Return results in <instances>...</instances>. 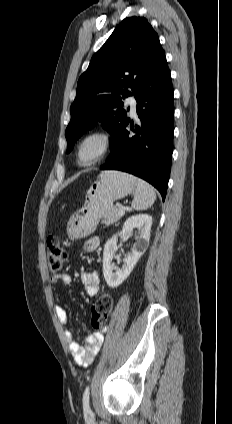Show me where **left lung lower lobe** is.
Listing matches in <instances>:
<instances>
[{
  "label": "left lung lower lobe",
  "instance_id": "0a47b994",
  "mask_svg": "<svg viewBox=\"0 0 232 424\" xmlns=\"http://www.w3.org/2000/svg\"><path fill=\"white\" fill-rule=\"evenodd\" d=\"M140 122L126 119L110 145L111 154L102 170H120L152 184L165 199L171 169L174 132L173 87L166 58L135 92Z\"/></svg>",
  "mask_w": 232,
  "mask_h": 424
}]
</instances>
